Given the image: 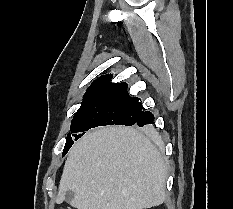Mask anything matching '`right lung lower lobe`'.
I'll list each match as a JSON object with an SVG mask.
<instances>
[{
	"label": "right lung lower lobe",
	"mask_w": 233,
	"mask_h": 209,
	"mask_svg": "<svg viewBox=\"0 0 233 209\" xmlns=\"http://www.w3.org/2000/svg\"><path fill=\"white\" fill-rule=\"evenodd\" d=\"M152 124H154V116L149 111H143L139 119L136 121V125L139 127H150Z\"/></svg>",
	"instance_id": "obj_1"
}]
</instances>
